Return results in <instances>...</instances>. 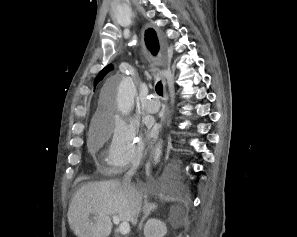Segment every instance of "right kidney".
Here are the masks:
<instances>
[{
	"label": "right kidney",
	"mask_w": 297,
	"mask_h": 237,
	"mask_svg": "<svg viewBox=\"0 0 297 237\" xmlns=\"http://www.w3.org/2000/svg\"><path fill=\"white\" fill-rule=\"evenodd\" d=\"M166 233V224L156 218L149 219L144 227L145 237H164Z\"/></svg>",
	"instance_id": "obj_1"
}]
</instances>
